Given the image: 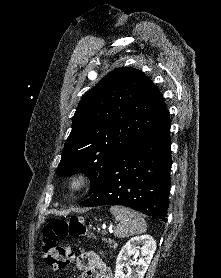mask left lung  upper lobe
Wrapping results in <instances>:
<instances>
[{
	"label": "left lung upper lobe",
	"mask_w": 221,
	"mask_h": 278,
	"mask_svg": "<svg viewBox=\"0 0 221 278\" xmlns=\"http://www.w3.org/2000/svg\"><path fill=\"white\" fill-rule=\"evenodd\" d=\"M166 112L150 78L131 67L113 70L81 98L57 173L82 171L93 190L117 155Z\"/></svg>",
	"instance_id": "5c2ea615"
}]
</instances>
